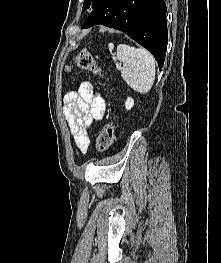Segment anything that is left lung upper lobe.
Wrapping results in <instances>:
<instances>
[{"mask_svg":"<svg viewBox=\"0 0 221 263\" xmlns=\"http://www.w3.org/2000/svg\"><path fill=\"white\" fill-rule=\"evenodd\" d=\"M103 0H84L82 12L89 8L97 7Z\"/></svg>","mask_w":221,"mask_h":263,"instance_id":"left-lung-upper-lobe-1","label":"left lung upper lobe"}]
</instances>
